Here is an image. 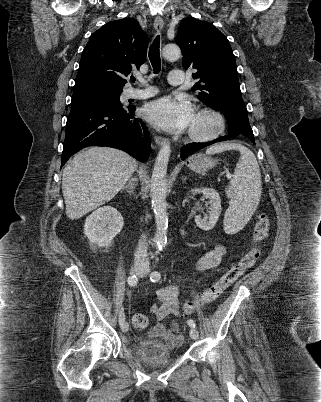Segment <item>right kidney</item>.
Wrapping results in <instances>:
<instances>
[{
  "label": "right kidney",
  "mask_w": 321,
  "mask_h": 402,
  "mask_svg": "<svg viewBox=\"0 0 321 402\" xmlns=\"http://www.w3.org/2000/svg\"><path fill=\"white\" fill-rule=\"evenodd\" d=\"M123 225V217L117 209L112 206H103L87 217L84 234L91 245L108 248L114 237L122 230Z\"/></svg>",
  "instance_id": "ca27d5eb"
}]
</instances>
